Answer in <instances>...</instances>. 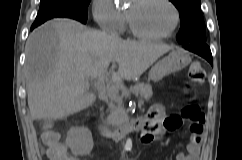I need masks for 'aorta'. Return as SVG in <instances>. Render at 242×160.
Wrapping results in <instances>:
<instances>
[{
	"label": "aorta",
	"mask_w": 242,
	"mask_h": 160,
	"mask_svg": "<svg viewBox=\"0 0 242 160\" xmlns=\"http://www.w3.org/2000/svg\"><path fill=\"white\" fill-rule=\"evenodd\" d=\"M125 148L126 149H131L132 148V139L128 138L125 143Z\"/></svg>",
	"instance_id": "1"
}]
</instances>
